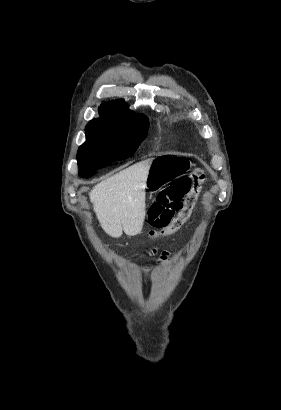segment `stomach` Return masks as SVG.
Here are the masks:
<instances>
[{"label":"stomach","instance_id":"1","mask_svg":"<svg viewBox=\"0 0 281 410\" xmlns=\"http://www.w3.org/2000/svg\"><path fill=\"white\" fill-rule=\"evenodd\" d=\"M191 167L190 161L181 155L162 154L153 158L149 167L146 188L158 191L173 178L181 175Z\"/></svg>","mask_w":281,"mask_h":410}]
</instances>
